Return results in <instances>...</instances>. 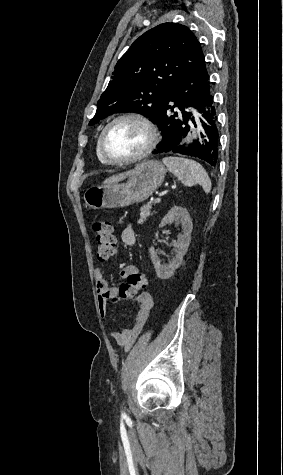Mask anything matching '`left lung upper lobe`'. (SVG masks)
Returning <instances> with one entry per match:
<instances>
[{
  "instance_id": "1",
  "label": "left lung upper lobe",
  "mask_w": 283,
  "mask_h": 475,
  "mask_svg": "<svg viewBox=\"0 0 283 475\" xmlns=\"http://www.w3.org/2000/svg\"><path fill=\"white\" fill-rule=\"evenodd\" d=\"M204 63L200 43L186 26L163 23L148 30L117 62L89 125L116 112L142 113L155 122L174 84Z\"/></svg>"
}]
</instances>
